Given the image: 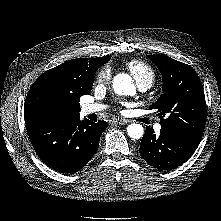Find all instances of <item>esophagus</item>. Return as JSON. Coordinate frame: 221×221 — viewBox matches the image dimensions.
<instances>
[{"label":"esophagus","mask_w":221,"mask_h":221,"mask_svg":"<svg viewBox=\"0 0 221 221\" xmlns=\"http://www.w3.org/2000/svg\"><path fill=\"white\" fill-rule=\"evenodd\" d=\"M128 121L127 120H123V119H116L112 121L113 125H125L127 124Z\"/></svg>","instance_id":"esophagus-1"}]
</instances>
